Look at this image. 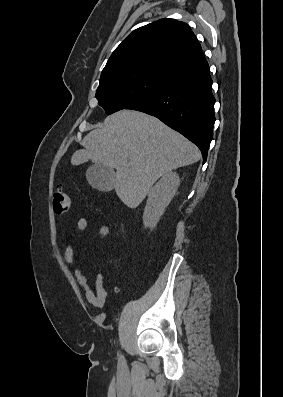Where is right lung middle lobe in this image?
Listing matches in <instances>:
<instances>
[{"instance_id": "obj_1", "label": "right lung middle lobe", "mask_w": 283, "mask_h": 397, "mask_svg": "<svg viewBox=\"0 0 283 397\" xmlns=\"http://www.w3.org/2000/svg\"><path fill=\"white\" fill-rule=\"evenodd\" d=\"M167 82L146 74L114 76L100 80L96 98L98 104L110 115L127 108Z\"/></svg>"}]
</instances>
